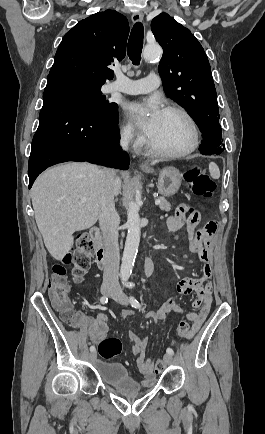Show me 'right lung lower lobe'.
Segmentation results:
<instances>
[{
    "mask_svg": "<svg viewBox=\"0 0 265 434\" xmlns=\"http://www.w3.org/2000/svg\"><path fill=\"white\" fill-rule=\"evenodd\" d=\"M117 124L118 119L108 122L88 116L62 94H44L29 158V188L46 168L67 161L128 169V155L118 147Z\"/></svg>",
    "mask_w": 265,
    "mask_h": 434,
    "instance_id": "98d812e1",
    "label": "right lung lower lobe"
}]
</instances>
